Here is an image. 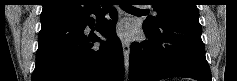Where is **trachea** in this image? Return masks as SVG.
Returning <instances> with one entry per match:
<instances>
[{
  "label": "trachea",
  "instance_id": "trachea-1",
  "mask_svg": "<svg viewBox=\"0 0 237 81\" xmlns=\"http://www.w3.org/2000/svg\"><path fill=\"white\" fill-rule=\"evenodd\" d=\"M120 7L122 9H128V10H134V11H144L138 8L133 7L131 4L125 2V1H121L119 3ZM111 7V4L108 2L103 3V9H109Z\"/></svg>",
  "mask_w": 237,
  "mask_h": 81
}]
</instances>
